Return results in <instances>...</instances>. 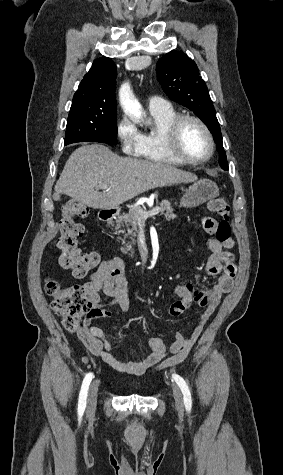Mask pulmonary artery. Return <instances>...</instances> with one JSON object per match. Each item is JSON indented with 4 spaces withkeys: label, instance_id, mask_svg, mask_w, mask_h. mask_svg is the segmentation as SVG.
Wrapping results in <instances>:
<instances>
[{
    "label": "pulmonary artery",
    "instance_id": "pulmonary-artery-1",
    "mask_svg": "<svg viewBox=\"0 0 283 475\" xmlns=\"http://www.w3.org/2000/svg\"><path fill=\"white\" fill-rule=\"evenodd\" d=\"M147 105L149 109H157V108L168 107L170 104L161 97L151 96L147 100Z\"/></svg>",
    "mask_w": 283,
    "mask_h": 475
}]
</instances>
